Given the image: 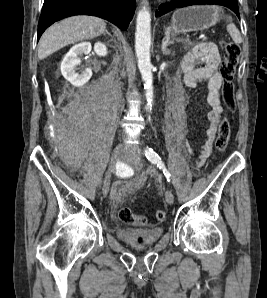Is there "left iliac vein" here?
<instances>
[{
  "mask_svg": "<svg viewBox=\"0 0 267 298\" xmlns=\"http://www.w3.org/2000/svg\"><path fill=\"white\" fill-rule=\"evenodd\" d=\"M126 159L129 160L132 163H137V162H140L141 157H140L139 154H134V155H131V156L126 157ZM165 199H166V201H167L168 204H173V202H174V195H173V193H172L171 190H166V192H165Z\"/></svg>",
  "mask_w": 267,
  "mask_h": 298,
  "instance_id": "1",
  "label": "left iliac vein"
}]
</instances>
